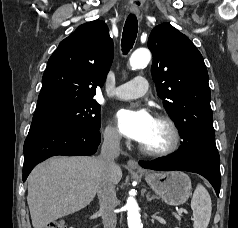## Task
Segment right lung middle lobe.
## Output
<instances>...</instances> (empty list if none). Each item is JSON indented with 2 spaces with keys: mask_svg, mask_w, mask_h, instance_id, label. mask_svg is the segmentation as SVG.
Segmentation results:
<instances>
[{
  "mask_svg": "<svg viewBox=\"0 0 238 228\" xmlns=\"http://www.w3.org/2000/svg\"><path fill=\"white\" fill-rule=\"evenodd\" d=\"M33 123L69 124L99 130L100 105L94 100L80 102L50 114L33 117Z\"/></svg>",
  "mask_w": 238,
  "mask_h": 228,
  "instance_id": "obj_1",
  "label": "right lung middle lobe"
}]
</instances>
